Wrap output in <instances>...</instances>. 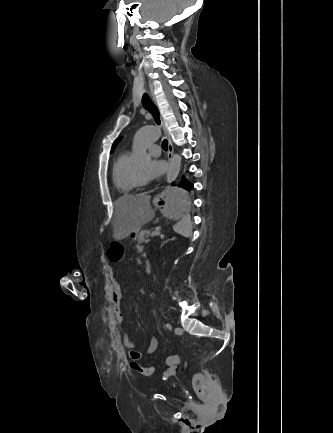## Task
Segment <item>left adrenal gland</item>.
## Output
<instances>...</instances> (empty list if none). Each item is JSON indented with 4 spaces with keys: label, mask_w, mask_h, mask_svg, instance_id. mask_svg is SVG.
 Masks as SVG:
<instances>
[{
    "label": "left adrenal gland",
    "mask_w": 333,
    "mask_h": 433,
    "mask_svg": "<svg viewBox=\"0 0 333 433\" xmlns=\"http://www.w3.org/2000/svg\"><path fill=\"white\" fill-rule=\"evenodd\" d=\"M166 242H167V241L163 242V244H165ZM163 244H162V245H163Z\"/></svg>",
    "instance_id": "left-adrenal-gland-1"
}]
</instances>
